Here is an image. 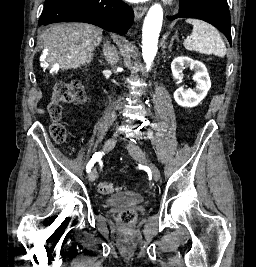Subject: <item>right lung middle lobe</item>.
<instances>
[{
  "label": "right lung middle lobe",
  "mask_w": 256,
  "mask_h": 267,
  "mask_svg": "<svg viewBox=\"0 0 256 267\" xmlns=\"http://www.w3.org/2000/svg\"><path fill=\"white\" fill-rule=\"evenodd\" d=\"M53 1H56V0H45V4H44V5H46V4H48V3H51V2H53Z\"/></svg>",
  "instance_id": "1"
}]
</instances>
